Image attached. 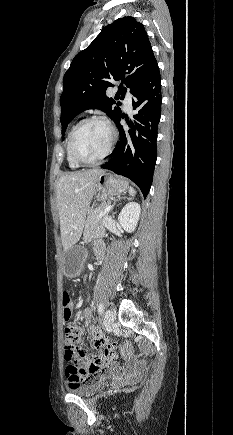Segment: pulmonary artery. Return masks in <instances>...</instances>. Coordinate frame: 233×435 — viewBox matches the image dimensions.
Masks as SVG:
<instances>
[{
  "label": "pulmonary artery",
  "mask_w": 233,
  "mask_h": 435,
  "mask_svg": "<svg viewBox=\"0 0 233 435\" xmlns=\"http://www.w3.org/2000/svg\"><path fill=\"white\" fill-rule=\"evenodd\" d=\"M124 94V106L129 110L132 106V94L129 91H125Z\"/></svg>",
  "instance_id": "obj_1"
}]
</instances>
